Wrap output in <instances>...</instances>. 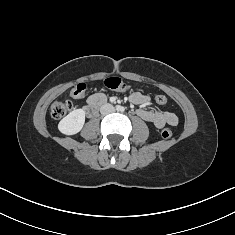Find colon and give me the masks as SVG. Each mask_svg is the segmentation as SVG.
I'll list each match as a JSON object with an SVG mask.
<instances>
[{
	"instance_id": "colon-1",
	"label": "colon",
	"mask_w": 235,
	"mask_h": 235,
	"mask_svg": "<svg viewBox=\"0 0 235 235\" xmlns=\"http://www.w3.org/2000/svg\"><path fill=\"white\" fill-rule=\"evenodd\" d=\"M102 85L107 89L119 92H125L130 89V86L124 83L118 77L106 78L102 82ZM85 92H86V85L80 83L70 90L69 95L71 98L79 99L85 95ZM155 101L159 105H165L167 103V97L163 94H159L155 97ZM72 107L73 104L71 100L66 99V100L55 101L50 109L51 116L55 119H60L64 117L69 111H71ZM161 134L163 138L168 139L172 136L173 132L171 129L165 128L162 130Z\"/></svg>"
}]
</instances>
